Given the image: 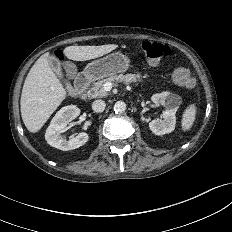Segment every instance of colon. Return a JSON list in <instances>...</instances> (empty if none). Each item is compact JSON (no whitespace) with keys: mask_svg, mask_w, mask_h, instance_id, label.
<instances>
[{"mask_svg":"<svg viewBox=\"0 0 232 232\" xmlns=\"http://www.w3.org/2000/svg\"><path fill=\"white\" fill-rule=\"evenodd\" d=\"M138 52L150 62L155 63L168 56L170 53V48L161 43L144 41L139 44ZM57 56L61 58L60 54H57ZM172 80L177 86L184 88H191L195 84L193 74L186 67L176 68L173 71Z\"/></svg>","mask_w":232,"mask_h":232,"instance_id":"colon-1","label":"colon"}]
</instances>
